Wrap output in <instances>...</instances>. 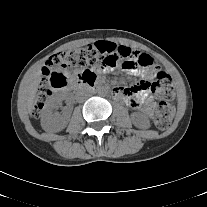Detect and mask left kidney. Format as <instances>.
<instances>
[{"label":"left kidney","instance_id":"obj_1","mask_svg":"<svg viewBox=\"0 0 207 207\" xmlns=\"http://www.w3.org/2000/svg\"><path fill=\"white\" fill-rule=\"evenodd\" d=\"M134 126L140 129H148L150 127V121L148 118L140 112H135L131 115Z\"/></svg>","mask_w":207,"mask_h":207}]
</instances>
